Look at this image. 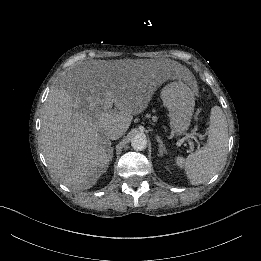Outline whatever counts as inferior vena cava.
Masks as SVG:
<instances>
[{
  "label": "inferior vena cava",
  "instance_id": "602c4592",
  "mask_svg": "<svg viewBox=\"0 0 261 261\" xmlns=\"http://www.w3.org/2000/svg\"><path fill=\"white\" fill-rule=\"evenodd\" d=\"M124 131L119 128H113L110 131L107 132V136L111 140H116L120 138L123 135Z\"/></svg>",
  "mask_w": 261,
  "mask_h": 261
}]
</instances>
